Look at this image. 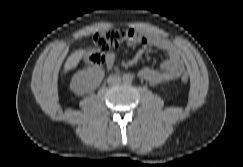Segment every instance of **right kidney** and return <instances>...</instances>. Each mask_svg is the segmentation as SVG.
Masks as SVG:
<instances>
[{
    "label": "right kidney",
    "mask_w": 243,
    "mask_h": 167,
    "mask_svg": "<svg viewBox=\"0 0 243 167\" xmlns=\"http://www.w3.org/2000/svg\"><path fill=\"white\" fill-rule=\"evenodd\" d=\"M104 77V71L100 68L91 67L78 71L72 78L70 83L71 90L77 95L95 90Z\"/></svg>",
    "instance_id": "right-kidney-1"
}]
</instances>
